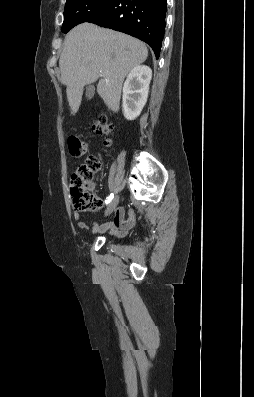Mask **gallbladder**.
<instances>
[{
  "instance_id": "1",
  "label": "gallbladder",
  "mask_w": 254,
  "mask_h": 397,
  "mask_svg": "<svg viewBox=\"0 0 254 397\" xmlns=\"http://www.w3.org/2000/svg\"><path fill=\"white\" fill-rule=\"evenodd\" d=\"M94 93H95V87H94V85H89V86L86 88V97H87L88 99H91V98L94 96Z\"/></svg>"
}]
</instances>
